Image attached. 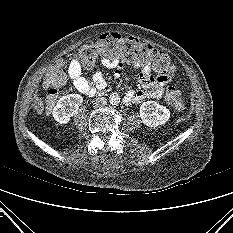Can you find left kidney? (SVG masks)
<instances>
[{
  "mask_svg": "<svg viewBox=\"0 0 233 233\" xmlns=\"http://www.w3.org/2000/svg\"><path fill=\"white\" fill-rule=\"evenodd\" d=\"M140 118L148 127H157L168 121L170 111L155 101H146L140 106Z\"/></svg>",
  "mask_w": 233,
  "mask_h": 233,
  "instance_id": "obj_1",
  "label": "left kidney"
}]
</instances>
